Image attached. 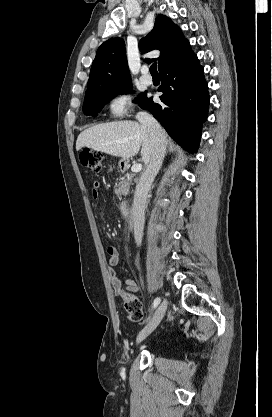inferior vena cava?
Wrapping results in <instances>:
<instances>
[{"label": "inferior vena cava", "instance_id": "1", "mask_svg": "<svg viewBox=\"0 0 272 417\" xmlns=\"http://www.w3.org/2000/svg\"><path fill=\"white\" fill-rule=\"evenodd\" d=\"M136 118L147 129L152 146L151 159L136 186L132 207L134 238L137 245H140L143 237L147 195L162 165L166 152V140L164 130L151 114L139 112Z\"/></svg>", "mask_w": 272, "mask_h": 417}]
</instances>
